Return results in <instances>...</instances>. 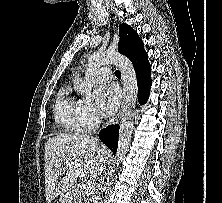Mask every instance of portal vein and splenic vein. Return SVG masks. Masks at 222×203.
Here are the masks:
<instances>
[{
  "mask_svg": "<svg viewBox=\"0 0 222 203\" xmlns=\"http://www.w3.org/2000/svg\"><path fill=\"white\" fill-rule=\"evenodd\" d=\"M82 188L86 191V192H89V191H92L94 189V186H93V183L92 182H85L83 185H82Z\"/></svg>",
  "mask_w": 222,
  "mask_h": 203,
  "instance_id": "obj_1",
  "label": "portal vein and splenic vein"
}]
</instances>
